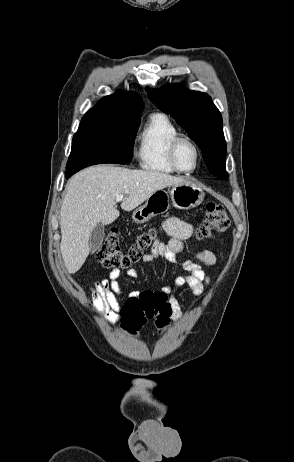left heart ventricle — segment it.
<instances>
[{"label": "left heart ventricle", "instance_id": "1", "mask_svg": "<svg viewBox=\"0 0 294 462\" xmlns=\"http://www.w3.org/2000/svg\"><path fill=\"white\" fill-rule=\"evenodd\" d=\"M177 161L182 169L190 170L194 167L196 155L189 143H181L177 150Z\"/></svg>", "mask_w": 294, "mask_h": 462}]
</instances>
